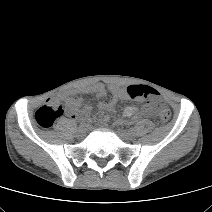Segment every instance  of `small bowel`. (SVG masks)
Wrapping results in <instances>:
<instances>
[{"mask_svg":"<svg viewBox=\"0 0 212 212\" xmlns=\"http://www.w3.org/2000/svg\"><path fill=\"white\" fill-rule=\"evenodd\" d=\"M86 93L94 97H104L108 93L111 94V100L108 102H101L99 108L105 111L113 112L116 104L119 101L130 99L126 88L111 85L107 87L103 83H96L84 89ZM68 107V115L72 119L86 121L89 119L91 106L81 97H69L66 101ZM153 108L146 105H132L128 106L122 113L121 119L126 121H134L140 119L142 116H151ZM108 118H104L106 122Z\"/></svg>","mask_w":212,"mask_h":212,"instance_id":"small-bowel-1","label":"small bowel"}]
</instances>
